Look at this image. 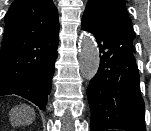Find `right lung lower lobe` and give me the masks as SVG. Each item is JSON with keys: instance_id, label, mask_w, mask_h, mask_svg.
I'll use <instances>...</instances> for the list:
<instances>
[{"instance_id": "1", "label": "right lung lower lobe", "mask_w": 151, "mask_h": 131, "mask_svg": "<svg viewBox=\"0 0 151 131\" xmlns=\"http://www.w3.org/2000/svg\"><path fill=\"white\" fill-rule=\"evenodd\" d=\"M57 47L58 44L49 52L46 64L39 71L6 88L0 89V96L20 95L36 104L41 110H45L47 97L52 87L55 60L58 55Z\"/></svg>"}]
</instances>
